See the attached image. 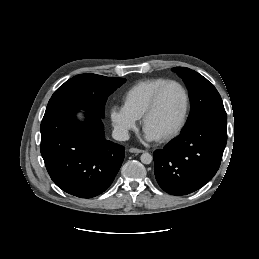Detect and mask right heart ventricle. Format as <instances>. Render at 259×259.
Wrapping results in <instances>:
<instances>
[{
	"label": "right heart ventricle",
	"mask_w": 259,
	"mask_h": 259,
	"mask_svg": "<svg viewBox=\"0 0 259 259\" xmlns=\"http://www.w3.org/2000/svg\"><path fill=\"white\" fill-rule=\"evenodd\" d=\"M167 80L158 77L136 82L124 92L122 96L123 107L137 119L142 118L155 91Z\"/></svg>",
	"instance_id": "right-heart-ventricle-1"
}]
</instances>
